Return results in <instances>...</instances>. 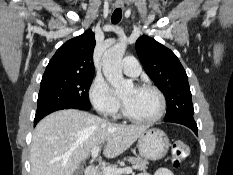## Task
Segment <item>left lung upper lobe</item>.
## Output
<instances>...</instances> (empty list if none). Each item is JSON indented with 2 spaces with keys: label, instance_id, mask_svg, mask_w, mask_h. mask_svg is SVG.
<instances>
[{
  "label": "left lung upper lobe",
  "instance_id": "left-lung-upper-lobe-1",
  "mask_svg": "<svg viewBox=\"0 0 233 175\" xmlns=\"http://www.w3.org/2000/svg\"><path fill=\"white\" fill-rule=\"evenodd\" d=\"M135 46L145 72L165 95V121L194 120L187 74L177 56L145 35L136 41Z\"/></svg>",
  "mask_w": 233,
  "mask_h": 175
}]
</instances>
